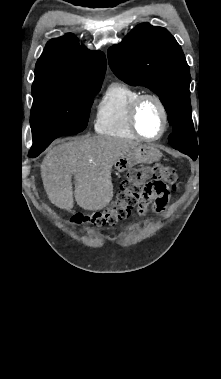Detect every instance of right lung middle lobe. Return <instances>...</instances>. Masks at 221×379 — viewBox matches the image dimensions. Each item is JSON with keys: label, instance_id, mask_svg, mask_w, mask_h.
Wrapping results in <instances>:
<instances>
[{"label": "right lung middle lobe", "instance_id": "1", "mask_svg": "<svg viewBox=\"0 0 221 379\" xmlns=\"http://www.w3.org/2000/svg\"><path fill=\"white\" fill-rule=\"evenodd\" d=\"M100 87H80L33 96L30 116L32 148H46L59 136L83 131Z\"/></svg>", "mask_w": 221, "mask_h": 379}]
</instances>
